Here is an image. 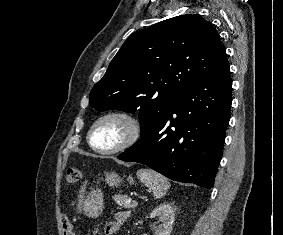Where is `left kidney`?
Masks as SVG:
<instances>
[{
  "instance_id": "obj_1",
  "label": "left kidney",
  "mask_w": 283,
  "mask_h": 235,
  "mask_svg": "<svg viewBox=\"0 0 283 235\" xmlns=\"http://www.w3.org/2000/svg\"><path fill=\"white\" fill-rule=\"evenodd\" d=\"M157 216H159L162 225L159 226L156 235H170L175 220L172 206L168 203L158 206L150 213V218L152 219Z\"/></svg>"
}]
</instances>
